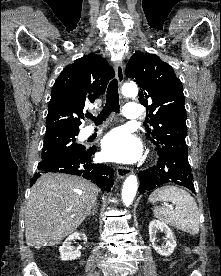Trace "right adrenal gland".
<instances>
[{
  "label": "right adrenal gland",
  "mask_w": 221,
  "mask_h": 276,
  "mask_svg": "<svg viewBox=\"0 0 221 276\" xmlns=\"http://www.w3.org/2000/svg\"><path fill=\"white\" fill-rule=\"evenodd\" d=\"M96 213H97V205L95 203L92 207V211H90L87 216H90V215L95 216Z\"/></svg>",
  "instance_id": "2a0ac1e0"
}]
</instances>
